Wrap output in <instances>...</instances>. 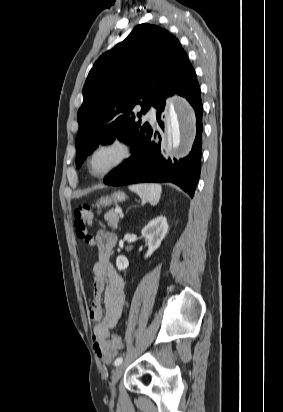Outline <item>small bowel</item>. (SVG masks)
<instances>
[{
    "label": "small bowel",
    "mask_w": 283,
    "mask_h": 412,
    "mask_svg": "<svg viewBox=\"0 0 283 412\" xmlns=\"http://www.w3.org/2000/svg\"><path fill=\"white\" fill-rule=\"evenodd\" d=\"M116 243L117 237L114 234L105 230L96 233L98 259L92 267L93 300L88 310V315L94 322V349L106 364L111 363L115 351L105 353L103 345L110 331L118 324L125 302V282L111 262Z\"/></svg>",
    "instance_id": "c3829d8e"
}]
</instances>
